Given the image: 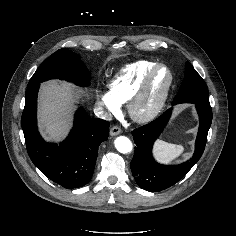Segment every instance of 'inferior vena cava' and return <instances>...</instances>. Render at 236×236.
I'll list each match as a JSON object with an SVG mask.
<instances>
[{
	"instance_id": "obj_1",
	"label": "inferior vena cava",
	"mask_w": 236,
	"mask_h": 236,
	"mask_svg": "<svg viewBox=\"0 0 236 236\" xmlns=\"http://www.w3.org/2000/svg\"><path fill=\"white\" fill-rule=\"evenodd\" d=\"M94 113L98 118L111 119V114L104 110L102 103H97L95 105Z\"/></svg>"
}]
</instances>
